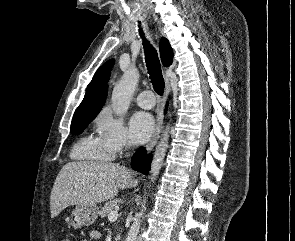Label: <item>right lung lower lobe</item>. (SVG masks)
<instances>
[{
    "label": "right lung lower lobe",
    "mask_w": 295,
    "mask_h": 241,
    "mask_svg": "<svg viewBox=\"0 0 295 241\" xmlns=\"http://www.w3.org/2000/svg\"><path fill=\"white\" fill-rule=\"evenodd\" d=\"M167 110V107H166ZM151 163V155H147L144 148L138 150L131 159V167L141 172L142 174L147 175L149 173Z\"/></svg>",
    "instance_id": "98d812e1"
}]
</instances>
